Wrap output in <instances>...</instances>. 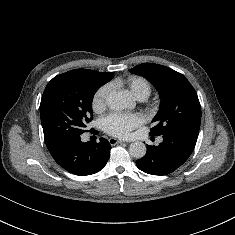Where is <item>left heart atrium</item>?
<instances>
[{
	"mask_svg": "<svg viewBox=\"0 0 235 235\" xmlns=\"http://www.w3.org/2000/svg\"><path fill=\"white\" fill-rule=\"evenodd\" d=\"M144 121L138 113H111L103 118L102 127L112 136L126 138Z\"/></svg>",
	"mask_w": 235,
	"mask_h": 235,
	"instance_id": "left-heart-atrium-1",
	"label": "left heart atrium"
}]
</instances>
